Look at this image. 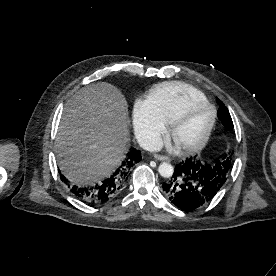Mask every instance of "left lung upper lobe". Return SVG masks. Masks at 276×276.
<instances>
[{"label":"left lung upper lobe","instance_id":"1","mask_svg":"<svg viewBox=\"0 0 276 276\" xmlns=\"http://www.w3.org/2000/svg\"><path fill=\"white\" fill-rule=\"evenodd\" d=\"M217 102L220 107L217 112L218 118L221 120V122L224 126H226L228 128H233V122H232V119H231L228 109L226 108V106L224 105V103L221 100L217 99ZM211 166H216V169L221 168V169H224V171H226V173H227L225 175V177H226L225 182H226V180L229 176V173H230V169H231V156H229L227 158L225 157L223 161H218Z\"/></svg>","mask_w":276,"mask_h":276}]
</instances>
